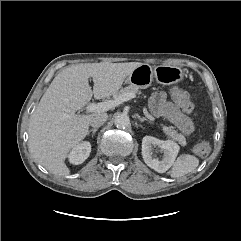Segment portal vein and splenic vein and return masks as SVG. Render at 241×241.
<instances>
[{
  "label": "portal vein and splenic vein",
  "mask_w": 241,
  "mask_h": 241,
  "mask_svg": "<svg viewBox=\"0 0 241 241\" xmlns=\"http://www.w3.org/2000/svg\"><path fill=\"white\" fill-rule=\"evenodd\" d=\"M136 95L134 93H127V94H121L114 100H106L104 102L100 103H91L88 106L87 113L89 112H105L108 111L118 105H120L123 102L129 101L133 98H135ZM145 113H147V109L144 108ZM65 117H69L68 114H64Z\"/></svg>",
  "instance_id": "obj_1"
}]
</instances>
